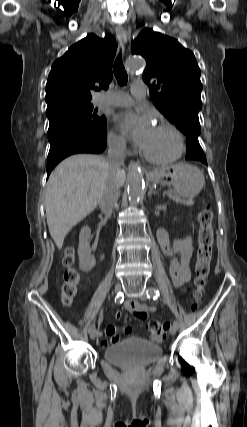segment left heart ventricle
Listing matches in <instances>:
<instances>
[{"label": "left heart ventricle", "instance_id": "1", "mask_svg": "<svg viewBox=\"0 0 247 427\" xmlns=\"http://www.w3.org/2000/svg\"><path fill=\"white\" fill-rule=\"evenodd\" d=\"M176 140L173 134L160 127H155L143 147V150L155 157H167L174 153Z\"/></svg>", "mask_w": 247, "mask_h": 427}]
</instances>
